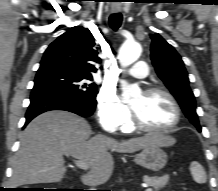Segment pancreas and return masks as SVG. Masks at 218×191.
I'll list each match as a JSON object with an SVG mask.
<instances>
[{
	"label": "pancreas",
	"instance_id": "obj_1",
	"mask_svg": "<svg viewBox=\"0 0 218 191\" xmlns=\"http://www.w3.org/2000/svg\"><path fill=\"white\" fill-rule=\"evenodd\" d=\"M143 181L150 186H153L155 191L160 190L163 188L169 181V176L165 175L162 177H149V176H144Z\"/></svg>",
	"mask_w": 218,
	"mask_h": 191
}]
</instances>
